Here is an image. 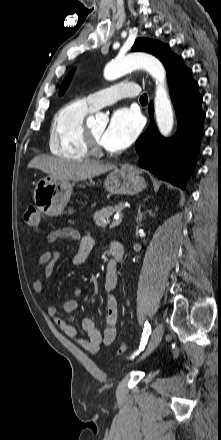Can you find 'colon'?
Here are the masks:
<instances>
[{
    "label": "colon",
    "mask_w": 221,
    "mask_h": 440,
    "mask_svg": "<svg viewBox=\"0 0 221 440\" xmlns=\"http://www.w3.org/2000/svg\"><path fill=\"white\" fill-rule=\"evenodd\" d=\"M25 221L27 225L34 229L40 230L41 228V214L40 211L34 207L30 206L25 213ZM127 346L123 343L119 346L118 353L123 354L126 352Z\"/></svg>",
    "instance_id": "5ec220e1"
}]
</instances>
